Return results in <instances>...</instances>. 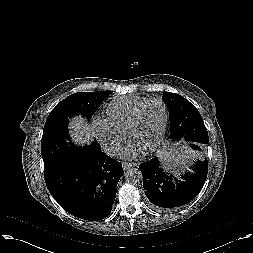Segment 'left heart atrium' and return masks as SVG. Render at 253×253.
<instances>
[{
    "label": "left heart atrium",
    "instance_id": "obj_1",
    "mask_svg": "<svg viewBox=\"0 0 253 253\" xmlns=\"http://www.w3.org/2000/svg\"><path fill=\"white\" fill-rule=\"evenodd\" d=\"M143 151V148L133 141H129L123 148L121 156L127 159H132L138 156Z\"/></svg>",
    "mask_w": 253,
    "mask_h": 253
}]
</instances>
